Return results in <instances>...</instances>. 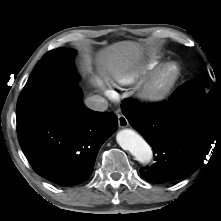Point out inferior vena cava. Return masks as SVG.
I'll return each instance as SVG.
<instances>
[{
    "label": "inferior vena cava",
    "mask_w": 221,
    "mask_h": 221,
    "mask_svg": "<svg viewBox=\"0 0 221 221\" xmlns=\"http://www.w3.org/2000/svg\"><path fill=\"white\" fill-rule=\"evenodd\" d=\"M85 105L91 110L94 111H106L108 108V102L105 98L99 96V95H93L91 97H88L85 100Z\"/></svg>",
    "instance_id": "inferior-vena-cava-1"
}]
</instances>
